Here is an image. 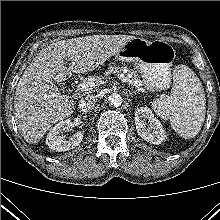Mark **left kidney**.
I'll return each mask as SVG.
<instances>
[{"label":"left kidney","instance_id":"5707ae66","mask_svg":"<svg viewBox=\"0 0 220 220\" xmlns=\"http://www.w3.org/2000/svg\"><path fill=\"white\" fill-rule=\"evenodd\" d=\"M135 124L138 135L145 141L158 145L165 140V131L150 108L140 107L135 110Z\"/></svg>","mask_w":220,"mask_h":220}]
</instances>
